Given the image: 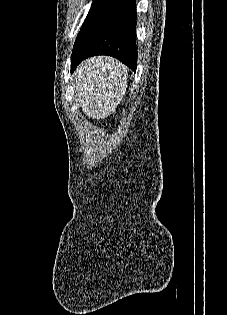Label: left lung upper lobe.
<instances>
[{
    "label": "left lung upper lobe",
    "mask_w": 227,
    "mask_h": 315,
    "mask_svg": "<svg viewBox=\"0 0 227 315\" xmlns=\"http://www.w3.org/2000/svg\"><path fill=\"white\" fill-rule=\"evenodd\" d=\"M97 0H94V2H93V4H92V6L95 4V2H96Z\"/></svg>",
    "instance_id": "5c2ea615"
}]
</instances>
